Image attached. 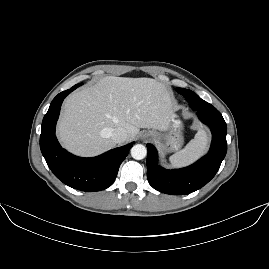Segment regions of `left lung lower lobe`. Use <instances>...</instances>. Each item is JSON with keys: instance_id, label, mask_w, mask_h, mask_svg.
Instances as JSON below:
<instances>
[{"instance_id": "left-lung-lower-lobe-1", "label": "left lung lower lobe", "mask_w": 269, "mask_h": 269, "mask_svg": "<svg viewBox=\"0 0 269 269\" xmlns=\"http://www.w3.org/2000/svg\"><path fill=\"white\" fill-rule=\"evenodd\" d=\"M199 119L209 126L212 132V144L206 156L193 165L166 170L157 164V151L147 144V177L156 190L171 195H187L207 184L217 173L227 152V126L216 108L194 109Z\"/></svg>"}]
</instances>
